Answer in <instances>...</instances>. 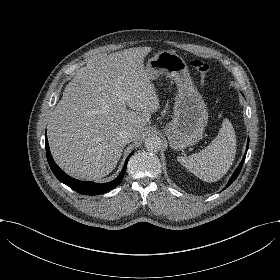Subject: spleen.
Returning <instances> with one entry per match:
<instances>
[{"label": "spleen", "instance_id": "1", "mask_svg": "<svg viewBox=\"0 0 280 280\" xmlns=\"http://www.w3.org/2000/svg\"><path fill=\"white\" fill-rule=\"evenodd\" d=\"M236 154V135L224 119L217 137L200 153L177 157L178 162L206 182H215L230 169Z\"/></svg>", "mask_w": 280, "mask_h": 280}]
</instances>
